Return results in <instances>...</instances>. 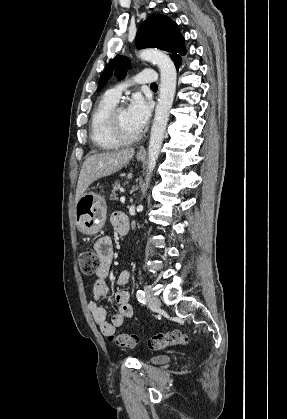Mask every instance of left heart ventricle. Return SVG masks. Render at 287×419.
<instances>
[{
  "mask_svg": "<svg viewBox=\"0 0 287 419\" xmlns=\"http://www.w3.org/2000/svg\"><path fill=\"white\" fill-rule=\"evenodd\" d=\"M118 119L122 131L127 135H136L139 131L132 125L129 116L127 114V109L122 107L118 112Z\"/></svg>",
  "mask_w": 287,
  "mask_h": 419,
  "instance_id": "obj_1",
  "label": "left heart ventricle"
}]
</instances>
